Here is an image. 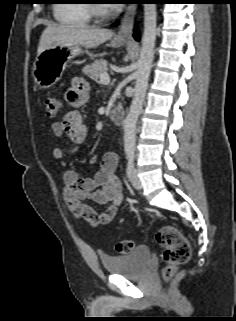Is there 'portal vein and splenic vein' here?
<instances>
[{"instance_id": "18ae733b", "label": "portal vein and splenic vein", "mask_w": 236, "mask_h": 321, "mask_svg": "<svg viewBox=\"0 0 236 321\" xmlns=\"http://www.w3.org/2000/svg\"><path fill=\"white\" fill-rule=\"evenodd\" d=\"M100 81L102 82V83H109L110 82V76H109V74L107 73V72H105V73H102L101 75H100Z\"/></svg>"}]
</instances>
